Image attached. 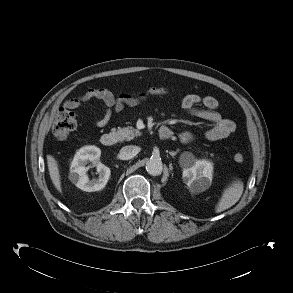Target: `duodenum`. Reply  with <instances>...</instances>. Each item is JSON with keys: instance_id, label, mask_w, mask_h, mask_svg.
<instances>
[{"instance_id": "obj_1", "label": "duodenum", "mask_w": 293, "mask_h": 293, "mask_svg": "<svg viewBox=\"0 0 293 293\" xmlns=\"http://www.w3.org/2000/svg\"><path fill=\"white\" fill-rule=\"evenodd\" d=\"M171 136V132L167 128H161L159 131V137L162 140H167ZM100 142L104 147L110 148L116 144V135L114 133H104L101 138Z\"/></svg>"}]
</instances>
